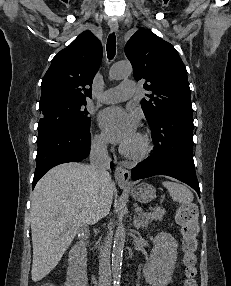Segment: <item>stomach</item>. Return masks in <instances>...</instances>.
Wrapping results in <instances>:
<instances>
[{"instance_id":"1","label":"stomach","mask_w":231,"mask_h":286,"mask_svg":"<svg viewBox=\"0 0 231 286\" xmlns=\"http://www.w3.org/2000/svg\"><path fill=\"white\" fill-rule=\"evenodd\" d=\"M127 190L135 200L141 203L152 201L156 197V189L148 183H139L130 187L122 186Z\"/></svg>"}]
</instances>
